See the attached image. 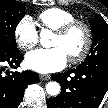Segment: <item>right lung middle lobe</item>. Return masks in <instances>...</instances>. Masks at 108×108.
<instances>
[{"label": "right lung middle lobe", "instance_id": "dd1d6c3e", "mask_svg": "<svg viewBox=\"0 0 108 108\" xmlns=\"http://www.w3.org/2000/svg\"><path fill=\"white\" fill-rule=\"evenodd\" d=\"M25 5L15 0H0V47L15 50V29L24 17Z\"/></svg>", "mask_w": 108, "mask_h": 108}]
</instances>
